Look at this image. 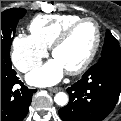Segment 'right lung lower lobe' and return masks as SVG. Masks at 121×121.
<instances>
[{"instance_id":"obj_1","label":"right lung lower lobe","mask_w":121,"mask_h":121,"mask_svg":"<svg viewBox=\"0 0 121 121\" xmlns=\"http://www.w3.org/2000/svg\"><path fill=\"white\" fill-rule=\"evenodd\" d=\"M36 91L19 80L10 58L1 57V121H22Z\"/></svg>"}]
</instances>
